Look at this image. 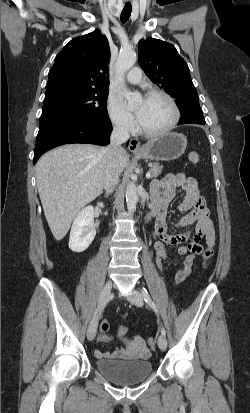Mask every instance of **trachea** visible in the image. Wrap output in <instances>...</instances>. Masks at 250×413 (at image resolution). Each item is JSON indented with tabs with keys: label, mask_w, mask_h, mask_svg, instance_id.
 I'll return each instance as SVG.
<instances>
[{
	"label": "trachea",
	"mask_w": 250,
	"mask_h": 413,
	"mask_svg": "<svg viewBox=\"0 0 250 413\" xmlns=\"http://www.w3.org/2000/svg\"><path fill=\"white\" fill-rule=\"evenodd\" d=\"M131 11H132V6H131V4H130V3H126L125 6H124V8H123V10H122L121 17H120L122 23H125V22H127V21L129 20V17H130V15H131Z\"/></svg>",
	"instance_id": "obj_1"
}]
</instances>
